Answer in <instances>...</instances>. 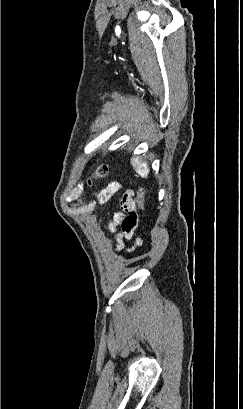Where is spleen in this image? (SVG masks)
I'll return each mask as SVG.
<instances>
[{"label":"spleen","instance_id":"spleen-1","mask_svg":"<svg viewBox=\"0 0 243 409\" xmlns=\"http://www.w3.org/2000/svg\"><path fill=\"white\" fill-rule=\"evenodd\" d=\"M131 164L134 167L135 171L142 177L147 178L149 174V168L146 163L139 160V158L131 159Z\"/></svg>","mask_w":243,"mask_h":409}]
</instances>
